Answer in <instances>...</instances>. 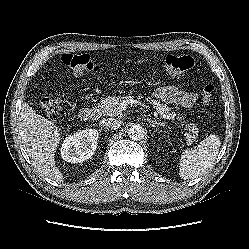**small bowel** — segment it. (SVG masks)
I'll return each instance as SVG.
<instances>
[{
  "label": "small bowel",
  "instance_id": "obj_1",
  "mask_svg": "<svg viewBox=\"0 0 249 249\" xmlns=\"http://www.w3.org/2000/svg\"><path fill=\"white\" fill-rule=\"evenodd\" d=\"M154 96L164 102L173 103L182 107H191L197 101V95L185 91L178 86H163L154 91Z\"/></svg>",
  "mask_w": 249,
  "mask_h": 249
}]
</instances>
